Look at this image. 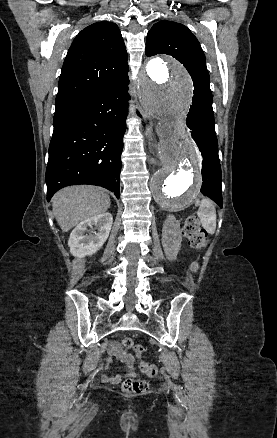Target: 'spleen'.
<instances>
[{"label": "spleen", "instance_id": "1", "mask_svg": "<svg viewBox=\"0 0 277 438\" xmlns=\"http://www.w3.org/2000/svg\"><path fill=\"white\" fill-rule=\"evenodd\" d=\"M200 222L208 232V234H215L216 230V210L211 202V200H208V198H204L201 202V206L197 212Z\"/></svg>", "mask_w": 277, "mask_h": 438}]
</instances>
